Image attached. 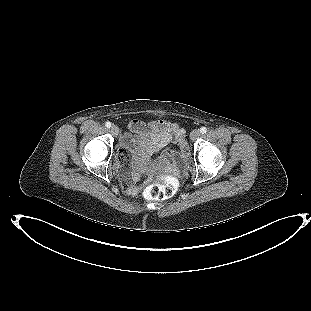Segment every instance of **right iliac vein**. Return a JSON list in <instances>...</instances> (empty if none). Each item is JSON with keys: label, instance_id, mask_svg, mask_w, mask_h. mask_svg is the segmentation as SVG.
Here are the masks:
<instances>
[{"label": "right iliac vein", "instance_id": "1", "mask_svg": "<svg viewBox=\"0 0 311 311\" xmlns=\"http://www.w3.org/2000/svg\"><path fill=\"white\" fill-rule=\"evenodd\" d=\"M111 130V133L114 135V136H117L119 134V128L116 126V125H112V127L110 128Z\"/></svg>", "mask_w": 311, "mask_h": 311}]
</instances>
